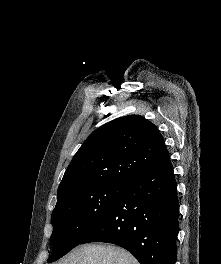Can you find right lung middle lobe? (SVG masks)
Returning a JSON list of instances; mask_svg holds the SVG:
<instances>
[{
  "instance_id": "right-lung-middle-lobe-1",
  "label": "right lung middle lobe",
  "mask_w": 221,
  "mask_h": 264,
  "mask_svg": "<svg viewBox=\"0 0 221 264\" xmlns=\"http://www.w3.org/2000/svg\"><path fill=\"white\" fill-rule=\"evenodd\" d=\"M125 184L109 182L94 185L56 204L51 215L52 254L48 263L58 260L81 244L113 208Z\"/></svg>"
}]
</instances>
